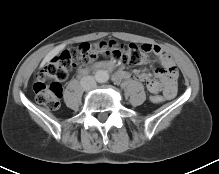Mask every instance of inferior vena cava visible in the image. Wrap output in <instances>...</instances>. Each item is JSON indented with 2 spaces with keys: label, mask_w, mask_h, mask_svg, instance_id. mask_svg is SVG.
Returning <instances> with one entry per match:
<instances>
[{
  "label": "inferior vena cava",
  "mask_w": 219,
  "mask_h": 174,
  "mask_svg": "<svg viewBox=\"0 0 219 174\" xmlns=\"http://www.w3.org/2000/svg\"><path fill=\"white\" fill-rule=\"evenodd\" d=\"M81 86L84 90L89 91L96 88V81L93 76H85L81 79Z\"/></svg>",
  "instance_id": "inferior-vena-cava-1"
}]
</instances>
